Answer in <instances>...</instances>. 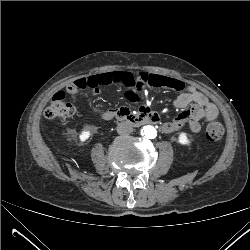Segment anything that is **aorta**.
Here are the masks:
<instances>
[{
  "label": "aorta",
  "instance_id": "1",
  "mask_svg": "<svg viewBox=\"0 0 250 250\" xmlns=\"http://www.w3.org/2000/svg\"><path fill=\"white\" fill-rule=\"evenodd\" d=\"M141 134L144 135L147 139H154L157 136V130L155 127L147 125L141 129Z\"/></svg>",
  "mask_w": 250,
  "mask_h": 250
}]
</instances>
